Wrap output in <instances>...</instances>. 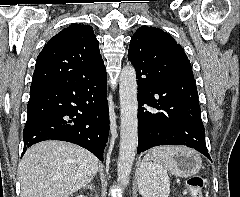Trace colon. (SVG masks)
I'll list each match as a JSON object with an SVG mask.
<instances>
[{
	"instance_id": "1",
	"label": "colon",
	"mask_w": 240,
	"mask_h": 197,
	"mask_svg": "<svg viewBox=\"0 0 240 197\" xmlns=\"http://www.w3.org/2000/svg\"><path fill=\"white\" fill-rule=\"evenodd\" d=\"M204 179L201 175H192L187 180V191L190 197H203L202 190L204 187Z\"/></svg>"
}]
</instances>
